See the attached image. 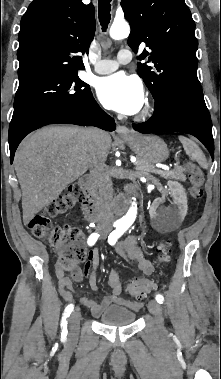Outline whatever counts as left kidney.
Masks as SVG:
<instances>
[{
    "label": "left kidney",
    "mask_w": 221,
    "mask_h": 379,
    "mask_svg": "<svg viewBox=\"0 0 221 379\" xmlns=\"http://www.w3.org/2000/svg\"><path fill=\"white\" fill-rule=\"evenodd\" d=\"M167 184L174 207H160L161 199H155L149 209L154 227L160 230H172L178 227L188 210L187 195L183 186L175 181H169Z\"/></svg>",
    "instance_id": "left-kidney-1"
}]
</instances>
